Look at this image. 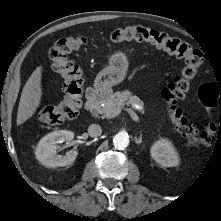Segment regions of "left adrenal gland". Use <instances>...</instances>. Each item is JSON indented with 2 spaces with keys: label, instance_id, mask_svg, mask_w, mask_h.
<instances>
[{
  "label": "left adrenal gland",
  "instance_id": "1",
  "mask_svg": "<svg viewBox=\"0 0 221 221\" xmlns=\"http://www.w3.org/2000/svg\"><path fill=\"white\" fill-rule=\"evenodd\" d=\"M135 143H136V144H141V143H142V134H140V137H139V138H136V137H135Z\"/></svg>",
  "mask_w": 221,
  "mask_h": 221
}]
</instances>
